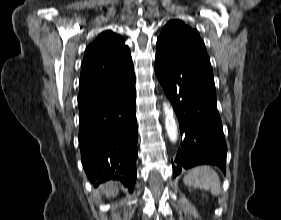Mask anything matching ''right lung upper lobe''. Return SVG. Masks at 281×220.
Wrapping results in <instances>:
<instances>
[{
    "mask_svg": "<svg viewBox=\"0 0 281 220\" xmlns=\"http://www.w3.org/2000/svg\"><path fill=\"white\" fill-rule=\"evenodd\" d=\"M134 79L133 62L124 39L105 31L86 48L78 101L118 90Z\"/></svg>",
    "mask_w": 281,
    "mask_h": 220,
    "instance_id": "right-lung-upper-lobe-1",
    "label": "right lung upper lobe"
}]
</instances>
